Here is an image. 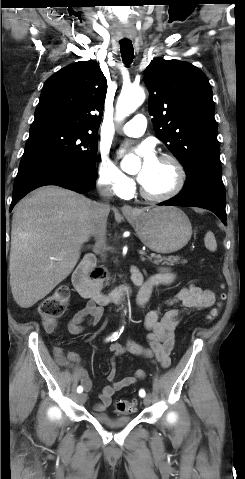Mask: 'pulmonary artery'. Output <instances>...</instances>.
<instances>
[{
	"label": "pulmonary artery",
	"mask_w": 245,
	"mask_h": 479,
	"mask_svg": "<svg viewBox=\"0 0 245 479\" xmlns=\"http://www.w3.org/2000/svg\"><path fill=\"white\" fill-rule=\"evenodd\" d=\"M146 130V118L142 114L135 115L123 127L122 131L128 136H141Z\"/></svg>",
	"instance_id": "pulmonary-artery-1"
}]
</instances>
